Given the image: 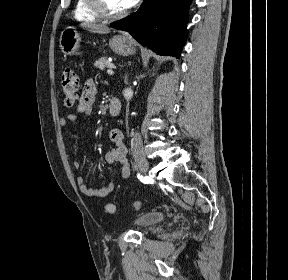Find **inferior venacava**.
I'll return each mask as SVG.
<instances>
[{
    "mask_svg": "<svg viewBox=\"0 0 288 280\" xmlns=\"http://www.w3.org/2000/svg\"><path fill=\"white\" fill-rule=\"evenodd\" d=\"M122 93L124 94L125 100L129 101L130 97H136V92L133 89H123ZM130 147H132L134 159H147V154H144L143 151V142L141 134L138 132H133L131 136Z\"/></svg>",
    "mask_w": 288,
    "mask_h": 280,
    "instance_id": "1",
    "label": "inferior vena cava"
}]
</instances>
